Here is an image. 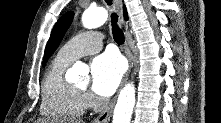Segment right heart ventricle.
Returning a JSON list of instances; mask_svg holds the SVG:
<instances>
[{
    "mask_svg": "<svg viewBox=\"0 0 221 123\" xmlns=\"http://www.w3.org/2000/svg\"><path fill=\"white\" fill-rule=\"evenodd\" d=\"M70 63L56 56L46 70L42 82V115L54 119H72L85 112V96L64 78Z\"/></svg>",
    "mask_w": 221,
    "mask_h": 123,
    "instance_id": "1",
    "label": "right heart ventricle"
}]
</instances>
